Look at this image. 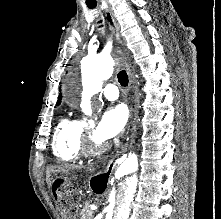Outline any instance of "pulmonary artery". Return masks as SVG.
Masks as SVG:
<instances>
[{
    "instance_id": "pulmonary-artery-1",
    "label": "pulmonary artery",
    "mask_w": 221,
    "mask_h": 219,
    "mask_svg": "<svg viewBox=\"0 0 221 219\" xmlns=\"http://www.w3.org/2000/svg\"><path fill=\"white\" fill-rule=\"evenodd\" d=\"M104 97L108 100H116L119 97V90L116 85L108 84L102 89Z\"/></svg>"
}]
</instances>
